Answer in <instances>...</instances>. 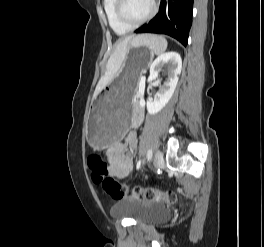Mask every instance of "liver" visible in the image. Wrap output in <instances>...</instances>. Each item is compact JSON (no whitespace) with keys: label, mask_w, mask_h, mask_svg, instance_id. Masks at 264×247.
<instances>
[{"label":"liver","mask_w":264,"mask_h":247,"mask_svg":"<svg viewBox=\"0 0 264 247\" xmlns=\"http://www.w3.org/2000/svg\"><path fill=\"white\" fill-rule=\"evenodd\" d=\"M140 36H129L117 43L112 55L108 60L106 72L104 76L101 77L96 86L93 99H95L97 95L118 75V72L126 58L128 47L132 41L139 38Z\"/></svg>","instance_id":"1"}]
</instances>
